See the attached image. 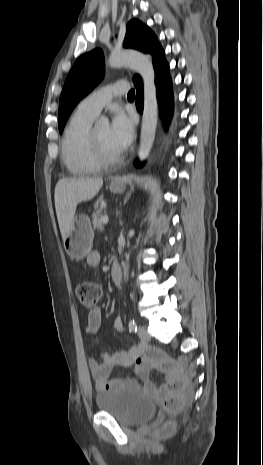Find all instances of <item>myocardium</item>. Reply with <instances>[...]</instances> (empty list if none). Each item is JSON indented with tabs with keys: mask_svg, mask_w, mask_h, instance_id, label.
I'll list each match as a JSON object with an SVG mask.
<instances>
[{
	"mask_svg": "<svg viewBox=\"0 0 263 465\" xmlns=\"http://www.w3.org/2000/svg\"><path fill=\"white\" fill-rule=\"evenodd\" d=\"M88 141L93 158L101 167L114 165L121 160L122 155L120 153L115 156H109L103 151L97 139L95 128L90 129L88 134Z\"/></svg>",
	"mask_w": 263,
	"mask_h": 465,
	"instance_id": "myocardium-1",
	"label": "myocardium"
}]
</instances>
